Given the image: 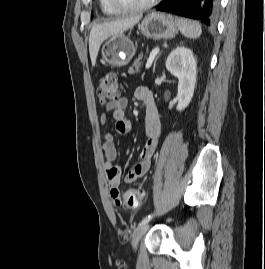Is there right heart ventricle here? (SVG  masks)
<instances>
[{
    "label": "right heart ventricle",
    "instance_id": "1",
    "mask_svg": "<svg viewBox=\"0 0 265 269\" xmlns=\"http://www.w3.org/2000/svg\"><path fill=\"white\" fill-rule=\"evenodd\" d=\"M99 6H100L101 11L104 14H107V15H117V14L120 13L118 10H116L112 6L110 0H99Z\"/></svg>",
    "mask_w": 265,
    "mask_h": 269
}]
</instances>
